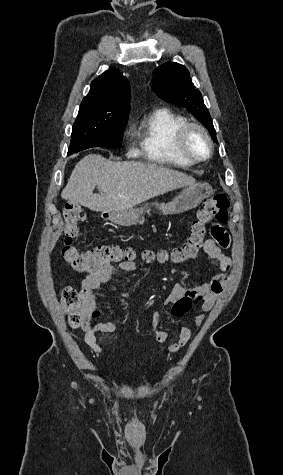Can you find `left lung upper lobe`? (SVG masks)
<instances>
[{
    "mask_svg": "<svg viewBox=\"0 0 283 475\" xmlns=\"http://www.w3.org/2000/svg\"><path fill=\"white\" fill-rule=\"evenodd\" d=\"M152 90L163 100L186 107L208 130L217 143L210 114L204 105L202 95L195 89L189 71L178 63H165L154 72Z\"/></svg>",
    "mask_w": 283,
    "mask_h": 475,
    "instance_id": "1",
    "label": "left lung upper lobe"
}]
</instances>
